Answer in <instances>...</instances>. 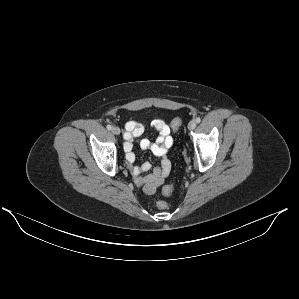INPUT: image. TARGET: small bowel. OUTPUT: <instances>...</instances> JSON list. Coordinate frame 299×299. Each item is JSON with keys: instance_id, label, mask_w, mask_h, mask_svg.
<instances>
[{"instance_id": "c3829d8e", "label": "small bowel", "mask_w": 299, "mask_h": 299, "mask_svg": "<svg viewBox=\"0 0 299 299\" xmlns=\"http://www.w3.org/2000/svg\"><path fill=\"white\" fill-rule=\"evenodd\" d=\"M150 126L159 134L154 143L148 139L140 137L146 132L147 125L130 121L126 124V132L124 135V151L129 169L132 172L134 181L143 188L146 194L155 193L156 189L162 185L168 177L171 170V162L167 156L169 149L173 145L170 126L162 119H154ZM137 141L144 150H150L160 159V165L155 167L149 174H143L150 170L151 165L148 162L138 166L135 165V154L133 152V142Z\"/></svg>"}]
</instances>
